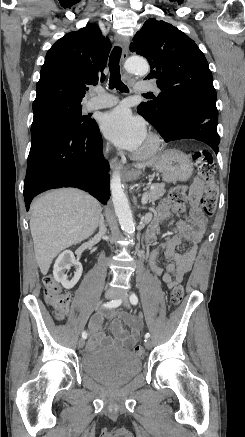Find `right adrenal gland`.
<instances>
[{
	"label": "right adrenal gland",
	"mask_w": 245,
	"mask_h": 437,
	"mask_svg": "<svg viewBox=\"0 0 245 437\" xmlns=\"http://www.w3.org/2000/svg\"><path fill=\"white\" fill-rule=\"evenodd\" d=\"M101 219H104L102 214H101Z\"/></svg>",
	"instance_id": "right-adrenal-gland-1"
}]
</instances>
